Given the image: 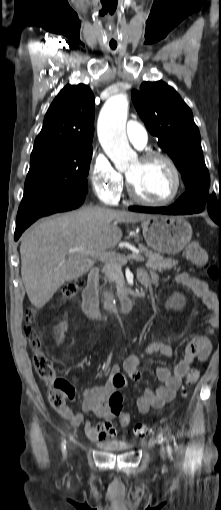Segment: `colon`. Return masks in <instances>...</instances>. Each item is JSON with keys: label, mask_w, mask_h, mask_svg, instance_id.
<instances>
[{"label": "colon", "mask_w": 221, "mask_h": 510, "mask_svg": "<svg viewBox=\"0 0 221 510\" xmlns=\"http://www.w3.org/2000/svg\"><path fill=\"white\" fill-rule=\"evenodd\" d=\"M185 258L197 267L202 268L207 275L215 281L221 283V268L209 261L206 250L196 242H191L184 252ZM82 287V281L76 280L65 285L62 293L63 300H71L77 296ZM38 312L34 308L27 310V323L32 325L37 320ZM26 336L30 342V346L34 351L33 367L39 377L48 386V402L52 408L58 411L67 408V401L72 400L75 396L73 387L64 379L57 378L53 368L52 361L45 351L44 343L41 336L32 328L28 327ZM199 377V372L192 369L186 376V388L193 385ZM112 386L115 392L111 395L109 403L115 407L117 419L120 424L126 426L130 423V416L122 410V395L119 390L123 389L127 382L122 373H115L111 378ZM183 393H187V389ZM148 428L144 424H136L133 433L136 437H145L148 434Z\"/></svg>", "instance_id": "5ec220e1"}]
</instances>
